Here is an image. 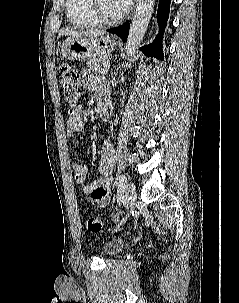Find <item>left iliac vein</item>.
I'll use <instances>...</instances> for the list:
<instances>
[{
    "instance_id": "left-iliac-vein-1",
    "label": "left iliac vein",
    "mask_w": 239,
    "mask_h": 303,
    "mask_svg": "<svg viewBox=\"0 0 239 303\" xmlns=\"http://www.w3.org/2000/svg\"><path fill=\"white\" fill-rule=\"evenodd\" d=\"M137 199L136 189L132 183L126 185V201L130 208H133Z\"/></svg>"
}]
</instances>
